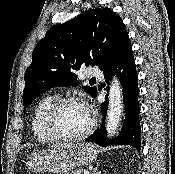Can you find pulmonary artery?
I'll use <instances>...</instances> for the list:
<instances>
[{
	"label": "pulmonary artery",
	"instance_id": "pulmonary-artery-1",
	"mask_svg": "<svg viewBox=\"0 0 175 174\" xmlns=\"http://www.w3.org/2000/svg\"><path fill=\"white\" fill-rule=\"evenodd\" d=\"M89 74L92 76H96V77H101L102 76V72L98 69V68H90L89 70Z\"/></svg>",
	"mask_w": 175,
	"mask_h": 174
}]
</instances>
